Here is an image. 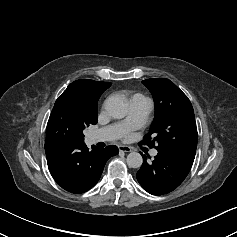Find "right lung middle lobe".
I'll use <instances>...</instances> for the list:
<instances>
[{
  "label": "right lung middle lobe",
  "instance_id": "1",
  "mask_svg": "<svg viewBox=\"0 0 237 237\" xmlns=\"http://www.w3.org/2000/svg\"><path fill=\"white\" fill-rule=\"evenodd\" d=\"M96 123L97 115H90L77 104L58 98L47 123L46 142L83 143V130Z\"/></svg>",
  "mask_w": 237,
  "mask_h": 237
}]
</instances>
